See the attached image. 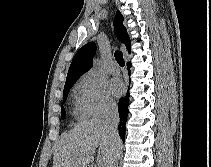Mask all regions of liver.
I'll use <instances>...</instances> for the list:
<instances>
[{
  "mask_svg": "<svg viewBox=\"0 0 211 167\" xmlns=\"http://www.w3.org/2000/svg\"><path fill=\"white\" fill-rule=\"evenodd\" d=\"M120 146L121 141L112 140L103 120H87L61 135L54 148L52 167H87L93 162L91 154L97 148L98 167H113Z\"/></svg>",
  "mask_w": 211,
  "mask_h": 167,
  "instance_id": "obj_1",
  "label": "liver"
}]
</instances>
